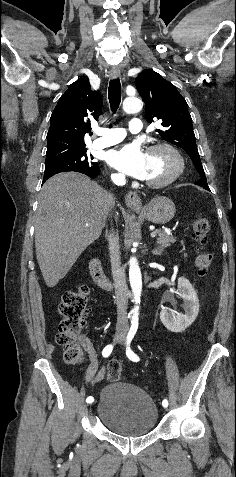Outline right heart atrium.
<instances>
[{"instance_id":"d8ad5b80","label":"right heart atrium","mask_w":236,"mask_h":477,"mask_svg":"<svg viewBox=\"0 0 236 477\" xmlns=\"http://www.w3.org/2000/svg\"><path fill=\"white\" fill-rule=\"evenodd\" d=\"M113 177H114L115 179H120L122 176H121L120 174H118V173H115V174H113Z\"/></svg>"}]
</instances>
